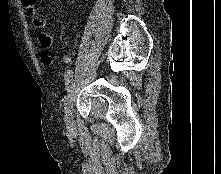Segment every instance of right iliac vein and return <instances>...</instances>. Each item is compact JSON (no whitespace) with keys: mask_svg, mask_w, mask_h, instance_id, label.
<instances>
[{"mask_svg":"<svg viewBox=\"0 0 221 174\" xmlns=\"http://www.w3.org/2000/svg\"><path fill=\"white\" fill-rule=\"evenodd\" d=\"M75 88H76V83L75 80L73 79L70 85L68 86L67 96L64 103V121L66 123V126L69 128H72L74 124L72 111H73Z\"/></svg>","mask_w":221,"mask_h":174,"instance_id":"obj_1","label":"right iliac vein"}]
</instances>
